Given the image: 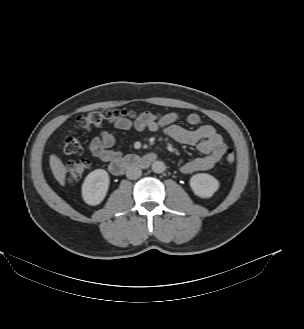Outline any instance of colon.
Masks as SVG:
<instances>
[{
    "mask_svg": "<svg viewBox=\"0 0 304 329\" xmlns=\"http://www.w3.org/2000/svg\"><path fill=\"white\" fill-rule=\"evenodd\" d=\"M128 119L136 122L141 121L148 123L152 121L153 114L149 112L135 111H118V110H99L87 113L78 117L76 121V129L89 130L92 127H100L117 120ZM64 153L72 155L81 152L82 147L80 142L73 136L68 135L62 141ZM225 161L231 165L235 161V152L233 149H228L225 155ZM89 167V162L86 159L71 162L66 167V179L69 182L77 181L83 177Z\"/></svg>",
    "mask_w": 304,
    "mask_h": 329,
    "instance_id": "5ec220e1",
    "label": "colon"
}]
</instances>
